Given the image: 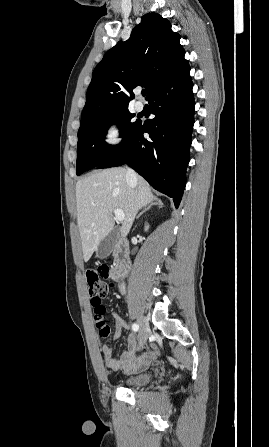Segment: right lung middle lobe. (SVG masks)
Here are the masks:
<instances>
[{"label": "right lung middle lobe", "mask_w": 269, "mask_h": 447, "mask_svg": "<svg viewBox=\"0 0 269 447\" xmlns=\"http://www.w3.org/2000/svg\"><path fill=\"white\" fill-rule=\"evenodd\" d=\"M134 114L128 108L114 110L103 114L89 124L81 127L78 132L76 174L97 167L115 151L120 149L128 137L138 128L140 122H132ZM112 123H116L122 134L118 145H108L105 135Z\"/></svg>", "instance_id": "dd1d6c3e"}]
</instances>
